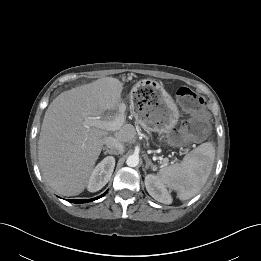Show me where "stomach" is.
<instances>
[{
	"label": "stomach",
	"mask_w": 261,
	"mask_h": 261,
	"mask_svg": "<svg viewBox=\"0 0 261 261\" xmlns=\"http://www.w3.org/2000/svg\"><path fill=\"white\" fill-rule=\"evenodd\" d=\"M147 96H135L133 109L136 120L145 130L157 132L160 139H164L178 122V107L159 82H149Z\"/></svg>",
	"instance_id": "1"
}]
</instances>
